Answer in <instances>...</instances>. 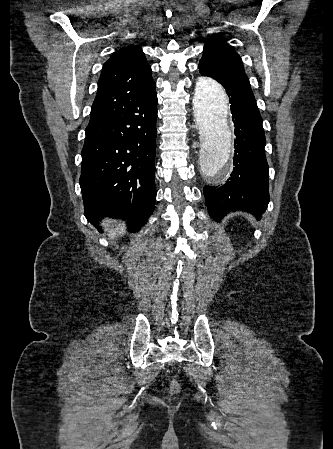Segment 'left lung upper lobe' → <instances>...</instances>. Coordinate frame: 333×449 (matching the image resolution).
<instances>
[{"label": "left lung upper lobe", "mask_w": 333, "mask_h": 449, "mask_svg": "<svg viewBox=\"0 0 333 449\" xmlns=\"http://www.w3.org/2000/svg\"><path fill=\"white\" fill-rule=\"evenodd\" d=\"M199 71L223 86L231 85L252 93L240 56L225 41L210 39L204 45Z\"/></svg>", "instance_id": "obj_1"}]
</instances>
